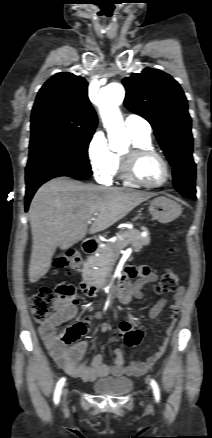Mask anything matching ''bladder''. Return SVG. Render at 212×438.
<instances>
[{"mask_svg": "<svg viewBox=\"0 0 212 438\" xmlns=\"http://www.w3.org/2000/svg\"><path fill=\"white\" fill-rule=\"evenodd\" d=\"M132 381L128 378L105 377L93 383L92 389L100 395H123L131 390Z\"/></svg>", "mask_w": 212, "mask_h": 438, "instance_id": "31cf9c89", "label": "bladder"}]
</instances>
